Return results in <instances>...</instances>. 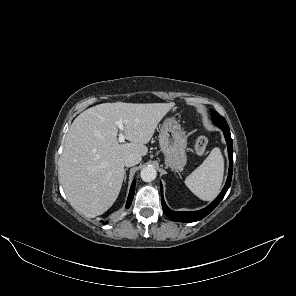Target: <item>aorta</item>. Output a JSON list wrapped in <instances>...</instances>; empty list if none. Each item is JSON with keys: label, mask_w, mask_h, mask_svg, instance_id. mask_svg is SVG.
I'll return each instance as SVG.
<instances>
[{"label": "aorta", "mask_w": 296, "mask_h": 296, "mask_svg": "<svg viewBox=\"0 0 296 296\" xmlns=\"http://www.w3.org/2000/svg\"><path fill=\"white\" fill-rule=\"evenodd\" d=\"M157 171L152 166H147L141 170L140 176L144 182H151L156 178Z\"/></svg>", "instance_id": "1"}]
</instances>
